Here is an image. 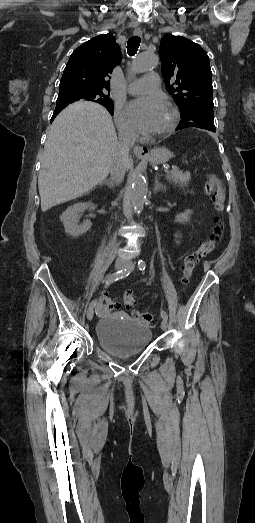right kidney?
Masks as SVG:
<instances>
[{
	"mask_svg": "<svg viewBox=\"0 0 255 523\" xmlns=\"http://www.w3.org/2000/svg\"><path fill=\"white\" fill-rule=\"evenodd\" d=\"M91 206L92 204H90V202H88V204H74V206L67 208L66 212H63L60 218L67 234H70V236H81V234H85L87 230H90L92 226L90 220H86L81 226H78L77 222L79 220V212H85V210H88Z\"/></svg>",
	"mask_w": 255,
	"mask_h": 523,
	"instance_id": "ca27d5eb",
	"label": "right kidney"
}]
</instances>
